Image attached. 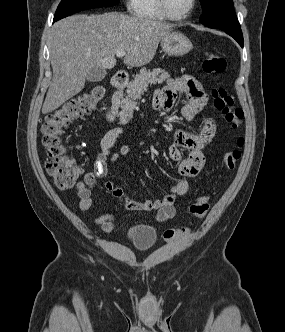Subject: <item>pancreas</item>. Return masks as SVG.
Returning a JSON list of instances; mask_svg holds the SVG:
<instances>
[{
	"instance_id": "obj_1",
	"label": "pancreas",
	"mask_w": 285,
	"mask_h": 332,
	"mask_svg": "<svg viewBox=\"0 0 285 332\" xmlns=\"http://www.w3.org/2000/svg\"><path fill=\"white\" fill-rule=\"evenodd\" d=\"M170 75L165 70L155 68L152 71L143 68L140 73L134 77V80L127 85V96L124 97L122 92L115 94L113 104L114 110L121 111L118 113L121 119L129 120L133 116L134 105L137 99L141 98L148 85L163 83Z\"/></svg>"
}]
</instances>
